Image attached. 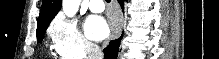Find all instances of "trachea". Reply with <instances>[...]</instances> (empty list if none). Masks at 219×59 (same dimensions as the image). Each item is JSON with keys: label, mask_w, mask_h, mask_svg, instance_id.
I'll list each match as a JSON object with an SVG mask.
<instances>
[{"label": "trachea", "mask_w": 219, "mask_h": 59, "mask_svg": "<svg viewBox=\"0 0 219 59\" xmlns=\"http://www.w3.org/2000/svg\"><path fill=\"white\" fill-rule=\"evenodd\" d=\"M107 3H110V0H106Z\"/></svg>", "instance_id": "trachea-1"}]
</instances>
